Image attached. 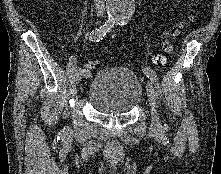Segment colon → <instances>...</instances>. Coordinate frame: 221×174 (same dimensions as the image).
I'll return each instance as SVG.
<instances>
[{
    "label": "colon",
    "instance_id": "1",
    "mask_svg": "<svg viewBox=\"0 0 221 174\" xmlns=\"http://www.w3.org/2000/svg\"><path fill=\"white\" fill-rule=\"evenodd\" d=\"M201 3L199 0H195L193 3H192V8L193 10L195 9H198L200 7ZM191 19H188V21H190ZM182 22L180 23L179 25L175 26V27H172L169 31H168V35L170 37H174L178 34L179 32V29L182 28L185 24H187V22ZM172 51V45L170 44H166L164 46V52L165 53H169ZM166 62V57L164 54H160V55H157L155 58H154V63L157 65V66H161L163 65L164 63ZM98 65V61L95 60V59H92V60H89L87 62V67L89 68H95L96 66Z\"/></svg>",
    "mask_w": 221,
    "mask_h": 174
}]
</instances>
